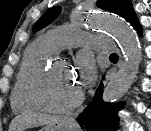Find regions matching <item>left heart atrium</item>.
<instances>
[{
    "label": "left heart atrium",
    "mask_w": 151,
    "mask_h": 131,
    "mask_svg": "<svg viewBox=\"0 0 151 131\" xmlns=\"http://www.w3.org/2000/svg\"><path fill=\"white\" fill-rule=\"evenodd\" d=\"M75 77L81 87L90 85L94 81L95 70L92 61L88 57L82 56L78 59Z\"/></svg>",
    "instance_id": "39dd6f15"
}]
</instances>
